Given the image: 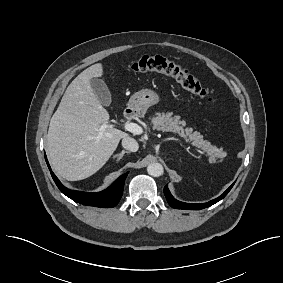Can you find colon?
Wrapping results in <instances>:
<instances>
[{
    "label": "colon",
    "instance_id": "obj_1",
    "mask_svg": "<svg viewBox=\"0 0 283 283\" xmlns=\"http://www.w3.org/2000/svg\"><path fill=\"white\" fill-rule=\"evenodd\" d=\"M135 72H156L174 79L183 89L212 101L209 90L202 85L187 69L161 56H143L131 65Z\"/></svg>",
    "mask_w": 283,
    "mask_h": 283
}]
</instances>
